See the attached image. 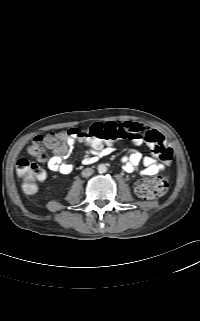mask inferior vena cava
I'll use <instances>...</instances> for the list:
<instances>
[{
  "mask_svg": "<svg viewBox=\"0 0 200 321\" xmlns=\"http://www.w3.org/2000/svg\"><path fill=\"white\" fill-rule=\"evenodd\" d=\"M94 170L92 168H86L82 171L83 177H89L93 174Z\"/></svg>",
  "mask_w": 200,
  "mask_h": 321,
  "instance_id": "obj_1",
  "label": "inferior vena cava"
}]
</instances>
